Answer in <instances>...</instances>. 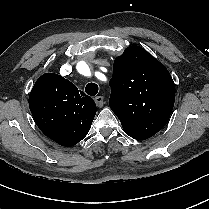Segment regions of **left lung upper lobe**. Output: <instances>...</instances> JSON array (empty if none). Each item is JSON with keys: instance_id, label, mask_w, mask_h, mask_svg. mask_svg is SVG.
I'll use <instances>...</instances> for the list:
<instances>
[{"instance_id": "1", "label": "left lung upper lobe", "mask_w": 209, "mask_h": 209, "mask_svg": "<svg viewBox=\"0 0 209 209\" xmlns=\"http://www.w3.org/2000/svg\"><path fill=\"white\" fill-rule=\"evenodd\" d=\"M109 106L127 135L145 140L167 123L175 101V84L166 67L139 46L115 59L109 82Z\"/></svg>"}]
</instances>
